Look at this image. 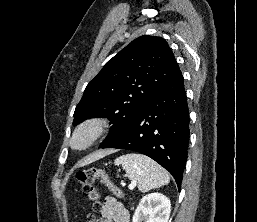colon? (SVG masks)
Instances as JSON below:
<instances>
[{
	"label": "colon",
	"mask_w": 257,
	"mask_h": 222,
	"mask_svg": "<svg viewBox=\"0 0 257 222\" xmlns=\"http://www.w3.org/2000/svg\"><path fill=\"white\" fill-rule=\"evenodd\" d=\"M75 179L81 185L83 195L92 203L93 211L101 208L100 194L96 187V182L100 181L117 197H123V192L115 185V183L105 174L104 171L97 168H87L76 173ZM93 216L90 215L86 222H92Z\"/></svg>",
	"instance_id": "1"
}]
</instances>
